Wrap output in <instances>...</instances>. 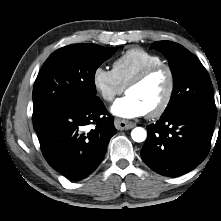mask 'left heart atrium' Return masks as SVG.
<instances>
[{"instance_id":"obj_1","label":"left heart atrium","mask_w":221,"mask_h":221,"mask_svg":"<svg viewBox=\"0 0 221 221\" xmlns=\"http://www.w3.org/2000/svg\"><path fill=\"white\" fill-rule=\"evenodd\" d=\"M111 111L118 117L132 119L144 116L148 113L144 104L132 95H126L118 100L111 107Z\"/></svg>"}]
</instances>
